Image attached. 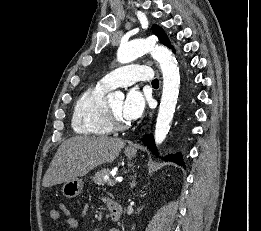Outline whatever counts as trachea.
I'll use <instances>...</instances> for the list:
<instances>
[{
  "label": "trachea",
  "instance_id": "obj_1",
  "mask_svg": "<svg viewBox=\"0 0 261 231\" xmlns=\"http://www.w3.org/2000/svg\"><path fill=\"white\" fill-rule=\"evenodd\" d=\"M152 85L158 86V85H159V80H158V79H154V80L152 81Z\"/></svg>",
  "mask_w": 261,
  "mask_h": 231
}]
</instances>
